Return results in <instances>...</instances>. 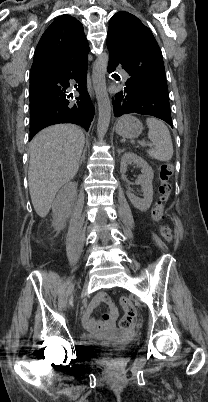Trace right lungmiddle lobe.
Segmentation results:
<instances>
[{"mask_svg":"<svg viewBox=\"0 0 208 402\" xmlns=\"http://www.w3.org/2000/svg\"><path fill=\"white\" fill-rule=\"evenodd\" d=\"M36 100H30V109H31V107H32V105H31V103H34V105L33 106H35L36 105Z\"/></svg>","mask_w":208,"mask_h":402,"instance_id":"obj_1","label":"right lung middle lobe"}]
</instances>
